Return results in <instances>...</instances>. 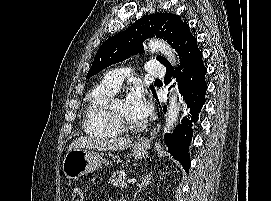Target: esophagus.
I'll return each mask as SVG.
<instances>
[{
	"mask_svg": "<svg viewBox=\"0 0 271 201\" xmlns=\"http://www.w3.org/2000/svg\"><path fill=\"white\" fill-rule=\"evenodd\" d=\"M161 129V123H157V125L154 127L152 132L149 134V136L141 141L138 142L139 145H147L149 142L156 137V135L159 133Z\"/></svg>",
	"mask_w": 271,
	"mask_h": 201,
	"instance_id": "obj_1",
	"label": "esophagus"
}]
</instances>
